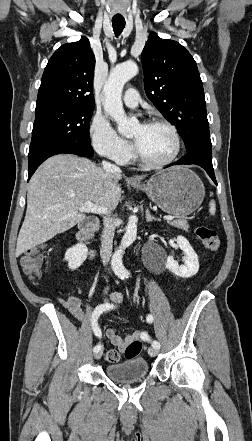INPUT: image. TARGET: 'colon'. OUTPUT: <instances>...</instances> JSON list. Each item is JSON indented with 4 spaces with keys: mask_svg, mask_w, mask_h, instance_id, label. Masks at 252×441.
<instances>
[{
    "mask_svg": "<svg viewBox=\"0 0 252 441\" xmlns=\"http://www.w3.org/2000/svg\"><path fill=\"white\" fill-rule=\"evenodd\" d=\"M196 236L204 247L215 252L220 247V239L216 231L208 226H198L196 228ZM23 271L31 278L39 277L41 274L42 255L39 249L33 248L21 257L20 260ZM142 349V344L139 340L131 342L125 352L124 356L127 359L136 357ZM106 359L109 363H118L121 359V354L118 350H109L106 354Z\"/></svg>",
    "mask_w": 252,
    "mask_h": 441,
    "instance_id": "colon-1",
    "label": "colon"
}]
</instances>
